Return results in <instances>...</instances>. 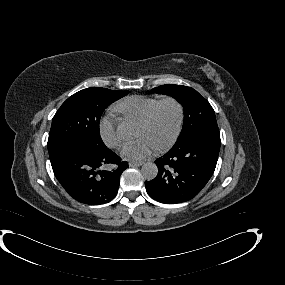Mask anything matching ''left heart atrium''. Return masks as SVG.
<instances>
[{
    "instance_id": "1",
    "label": "left heart atrium",
    "mask_w": 285,
    "mask_h": 285,
    "mask_svg": "<svg viewBox=\"0 0 285 285\" xmlns=\"http://www.w3.org/2000/svg\"><path fill=\"white\" fill-rule=\"evenodd\" d=\"M151 144L148 139L141 138L135 141L126 143L122 147V154L123 156L134 159L140 160L147 157L150 153Z\"/></svg>"
}]
</instances>
